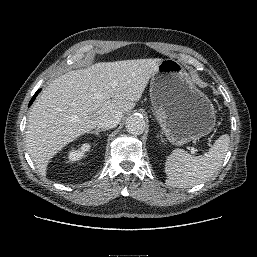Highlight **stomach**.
<instances>
[{
    "label": "stomach",
    "mask_w": 257,
    "mask_h": 257,
    "mask_svg": "<svg viewBox=\"0 0 257 257\" xmlns=\"http://www.w3.org/2000/svg\"><path fill=\"white\" fill-rule=\"evenodd\" d=\"M150 97L155 117L174 145L206 136L215 126L213 104L177 60L161 61L150 80Z\"/></svg>",
    "instance_id": "0dacf381"
}]
</instances>
